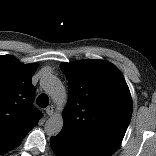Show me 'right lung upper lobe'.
<instances>
[{"mask_svg": "<svg viewBox=\"0 0 156 156\" xmlns=\"http://www.w3.org/2000/svg\"><path fill=\"white\" fill-rule=\"evenodd\" d=\"M37 67L11 55L0 56V155L16 147L41 117L32 104L31 78Z\"/></svg>", "mask_w": 156, "mask_h": 156, "instance_id": "1", "label": "right lung upper lobe"}]
</instances>
